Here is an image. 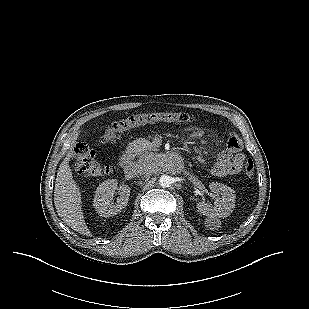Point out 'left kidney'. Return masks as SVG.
I'll return each instance as SVG.
<instances>
[{
  "label": "left kidney",
  "instance_id": "1",
  "mask_svg": "<svg viewBox=\"0 0 309 309\" xmlns=\"http://www.w3.org/2000/svg\"><path fill=\"white\" fill-rule=\"evenodd\" d=\"M209 188L216 195L214 206L202 201L197 203L198 211L210 220L228 217L235 207L234 190L217 182L210 183Z\"/></svg>",
  "mask_w": 309,
  "mask_h": 309
}]
</instances>
